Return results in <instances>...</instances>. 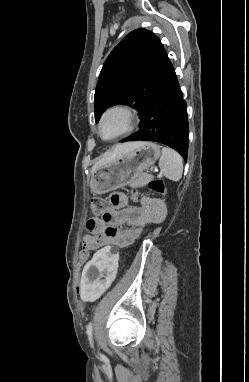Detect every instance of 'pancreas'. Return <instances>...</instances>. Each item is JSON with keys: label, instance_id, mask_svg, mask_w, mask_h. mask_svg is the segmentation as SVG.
I'll use <instances>...</instances> for the list:
<instances>
[{"label": "pancreas", "instance_id": "cf45deb5", "mask_svg": "<svg viewBox=\"0 0 249 382\" xmlns=\"http://www.w3.org/2000/svg\"><path fill=\"white\" fill-rule=\"evenodd\" d=\"M152 180V176L148 174H143L139 177L132 178L128 185L132 188H139L147 185Z\"/></svg>", "mask_w": 249, "mask_h": 382}]
</instances>
